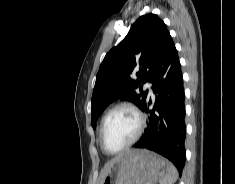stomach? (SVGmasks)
<instances>
[{"label": "stomach", "instance_id": "0dacf381", "mask_svg": "<svg viewBox=\"0 0 235 184\" xmlns=\"http://www.w3.org/2000/svg\"><path fill=\"white\" fill-rule=\"evenodd\" d=\"M167 160L149 150H131L109 168L102 184H157L166 174Z\"/></svg>", "mask_w": 235, "mask_h": 184}]
</instances>
